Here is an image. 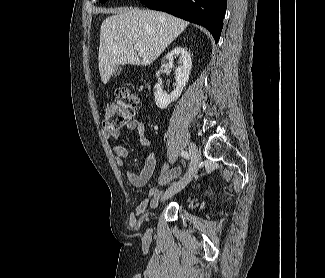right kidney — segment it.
Instances as JSON below:
<instances>
[{
    "instance_id": "1",
    "label": "right kidney",
    "mask_w": 325,
    "mask_h": 278,
    "mask_svg": "<svg viewBox=\"0 0 325 278\" xmlns=\"http://www.w3.org/2000/svg\"><path fill=\"white\" fill-rule=\"evenodd\" d=\"M175 58H179L178 66L175 68L176 88H174L172 93L168 94L162 90L160 84L156 83L154 86L155 103L160 109L167 108L172 101L178 99L183 91V88L186 86L189 80V75L192 68V60L189 52L185 47L177 46L171 50L165 56L161 69L173 68V62ZM159 76L160 71L156 73V77L159 78Z\"/></svg>"
}]
</instances>
